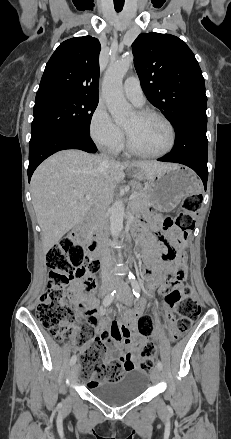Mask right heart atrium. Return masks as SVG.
I'll use <instances>...</instances> for the list:
<instances>
[{
  "label": "right heart atrium",
  "mask_w": 231,
  "mask_h": 439,
  "mask_svg": "<svg viewBox=\"0 0 231 439\" xmlns=\"http://www.w3.org/2000/svg\"><path fill=\"white\" fill-rule=\"evenodd\" d=\"M89 134L97 146L113 152L119 150L124 141L123 130L113 121L101 103L95 107L91 115Z\"/></svg>",
  "instance_id": "obj_1"
}]
</instances>
